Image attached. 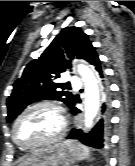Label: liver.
Instances as JSON below:
<instances>
[{
	"instance_id": "obj_1",
	"label": "liver",
	"mask_w": 135,
	"mask_h": 166,
	"mask_svg": "<svg viewBox=\"0 0 135 166\" xmlns=\"http://www.w3.org/2000/svg\"><path fill=\"white\" fill-rule=\"evenodd\" d=\"M24 163H25V162H23L20 166H23Z\"/></svg>"
}]
</instances>
